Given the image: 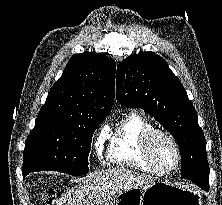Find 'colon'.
<instances>
[{
  "label": "colon",
  "mask_w": 222,
  "mask_h": 205,
  "mask_svg": "<svg viewBox=\"0 0 222 205\" xmlns=\"http://www.w3.org/2000/svg\"><path fill=\"white\" fill-rule=\"evenodd\" d=\"M49 194H51V195L54 194V190H53V189H50V190H49Z\"/></svg>",
  "instance_id": "obj_1"
}]
</instances>
